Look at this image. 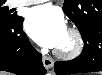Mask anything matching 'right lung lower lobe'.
Returning <instances> with one entry per match:
<instances>
[{"mask_svg": "<svg viewBox=\"0 0 102 75\" xmlns=\"http://www.w3.org/2000/svg\"><path fill=\"white\" fill-rule=\"evenodd\" d=\"M23 18L0 22V70L17 75H44L42 55L22 30Z\"/></svg>", "mask_w": 102, "mask_h": 75, "instance_id": "obj_1", "label": "right lung lower lobe"}]
</instances>
